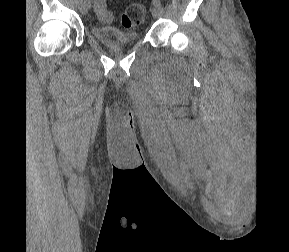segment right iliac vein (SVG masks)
Returning a JSON list of instances; mask_svg holds the SVG:
<instances>
[{
    "mask_svg": "<svg viewBox=\"0 0 289 252\" xmlns=\"http://www.w3.org/2000/svg\"><path fill=\"white\" fill-rule=\"evenodd\" d=\"M90 1L89 0H79L78 8L81 13L87 14L88 10L90 9Z\"/></svg>",
    "mask_w": 289,
    "mask_h": 252,
    "instance_id": "obj_1",
    "label": "right iliac vein"
}]
</instances>
